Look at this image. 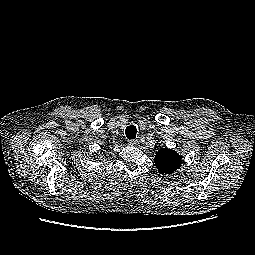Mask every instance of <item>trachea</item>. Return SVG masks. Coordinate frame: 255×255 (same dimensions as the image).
<instances>
[{
    "label": "trachea",
    "instance_id": "obj_1",
    "mask_svg": "<svg viewBox=\"0 0 255 255\" xmlns=\"http://www.w3.org/2000/svg\"><path fill=\"white\" fill-rule=\"evenodd\" d=\"M137 129L134 125H130L126 128L125 134L129 140H133L136 137Z\"/></svg>",
    "mask_w": 255,
    "mask_h": 255
}]
</instances>
